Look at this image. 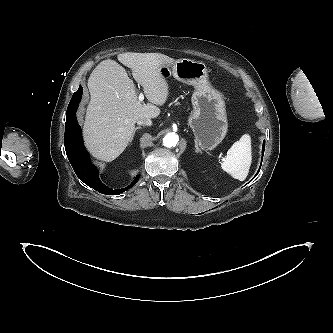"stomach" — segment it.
I'll use <instances>...</instances> for the list:
<instances>
[{"mask_svg": "<svg viewBox=\"0 0 333 333\" xmlns=\"http://www.w3.org/2000/svg\"><path fill=\"white\" fill-rule=\"evenodd\" d=\"M159 73L167 78L171 73L178 80L194 86L191 101L193 111L188 124L202 149L213 150L225 138L228 123L225 102L219 91L212 87L208 70L203 62L187 58L159 67Z\"/></svg>", "mask_w": 333, "mask_h": 333, "instance_id": "stomach-1", "label": "stomach"}]
</instances>
